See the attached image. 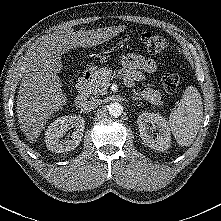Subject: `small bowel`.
<instances>
[{"label": "small bowel", "instance_id": "1", "mask_svg": "<svg viewBox=\"0 0 221 221\" xmlns=\"http://www.w3.org/2000/svg\"><path fill=\"white\" fill-rule=\"evenodd\" d=\"M122 76L125 82L131 86L137 81L144 79L143 72L155 73L159 65L152 58H145L137 54L125 55L121 59Z\"/></svg>", "mask_w": 221, "mask_h": 221}]
</instances>
